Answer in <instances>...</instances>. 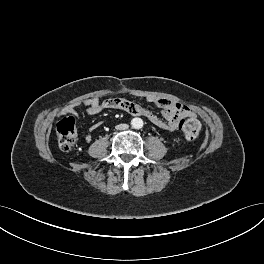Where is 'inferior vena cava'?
Returning a JSON list of instances; mask_svg holds the SVG:
<instances>
[{"label": "inferior vena cava", "mask_w": 264, "mask_h": 264, "mask_svg": "<svg viewBox=\"0 0 264 264\" xmlns=\"http://www.w3.org/2000/svg\"><path fill=\"white\" fill-rule=\"evenodd\" d=\"M117 130H126L129 128L128 124H119L115 127Z\"/></svg>", "instance_id": "inferior-vena-cava-1"}]
</instances>
